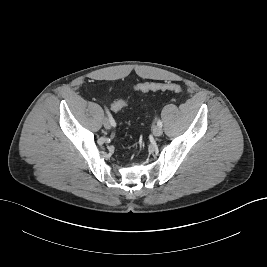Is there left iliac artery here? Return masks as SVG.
<instances>
[{
    "label": "left iliac artery",
    "mask_w": 267,
    "mask_h": 267,
    "mask_svg": "<svg viewBox=\"0 0 267 267\" xmlns=\"http://www.w3.org/2000/svg\"><path fill=\"white\" fill-rule=\"evenodd\" d=\"M157 125L162 127V121L161 120H157Z\"/></svg>",
    "instance_id": "1"
}]
</instances>
